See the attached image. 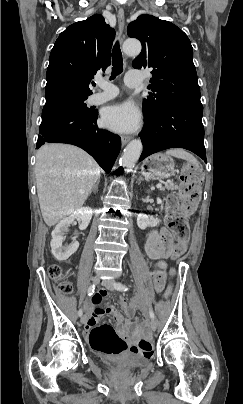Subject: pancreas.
Returning a JSON list of instances; mask_svg holds the SVG:
<instances>
[{
    "label": "pancreas",
    "instance_id": "cf45deb5",
    "mask_svg": "<svg viewBox=\"0 0 243 404\" xmlns=\"http://www.w3.org/2000/svg\"><path fill=\"white\" fill-rule=\"evenodd\" d=\"M162 192H165V190H178L177 184L175 182H168V184H165L164 188H160Z\"/></svg>",
    "mask_w": 243,
    "mask_h": 404
}]
</instances>
